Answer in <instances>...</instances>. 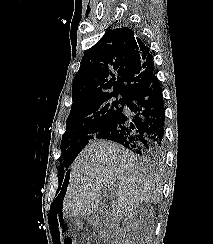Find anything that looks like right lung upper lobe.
Segmentation results:
<instances>
[{"mask_svg": "<svg viewBox=\"0 0 213 244\" xmlns=\"http://www.w3.org/2000/svg\"><path fill=\"white\" fill-rule=\"evenodd\" d=\"M154 73L152 55L129 27L108 30L88 49L72 87V107L103 96L131 97Z\"/></svg>", "mask_w": 213, "mask_h": 244, "instance_id": "1", "label": "right lung upper lobe"}]
</instances>
